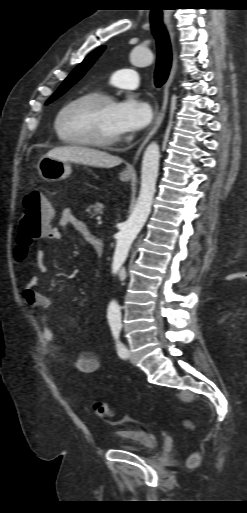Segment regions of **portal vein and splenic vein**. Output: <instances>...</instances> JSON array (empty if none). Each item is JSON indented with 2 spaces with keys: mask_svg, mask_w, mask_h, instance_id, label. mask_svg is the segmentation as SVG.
I'll list each match as a JSON object with an SVG mask.
<instances>
[{
  "mask_svg": "<svg viewBox=\"0 0 247 513\" xmlns=\"http://www.w3.org/2000/svg\"><path fill=\"white\" fill-rule=\"evenodd\" d=\"M98 224H102L101 218L97 217Z\"/></svg>",
  "mask_w": 247,
  "mask_h": 513,
  "instance_id": "18ae733b",
  "label": "portal vein and splenic vein"
}]
</instances>
